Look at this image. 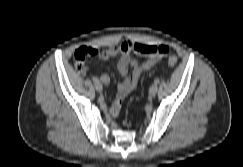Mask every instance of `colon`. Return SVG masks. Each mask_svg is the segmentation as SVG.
Instances as JSON below:
<instances>
[{
	"mask_svg": "<svg viewBox=\"0 0 243 167\" xmlns=\"http://www.w3.org/2000/svg\"><path fill=\"white\" fill-rule=\"evenodd\" d=\"M89 56H91L90 48L81 47V48H78L77 50H75L74 55H73V61H74V65H75V68L77 69V71L83 72L86 70V68H87L86 60ZM177 61H178V59L174 55H171L168 58V64L170 67H174L177 64Z\"/></svg>",
	"mask_w": 243,
	"mask_h": 167,
	"instance_id": "5ec220e1",
	"label": "colon"
}]
</instances>
